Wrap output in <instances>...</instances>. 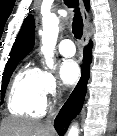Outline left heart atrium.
<instances>
[{"instance_id":"left-heart-atrium-1","label":"left heart atrium","mask_w":117,"mask_h":136,"mask_svg":"<svg viewBox=\"0 0 117 136\" xmlns=\"http://www.w3.org/2000/svg\"><path fill=\"white\" fill-rule=\"evenodd\" d=\"M80 67L73 59L64 60L59 69V75L65 85H73L80 77Z\"/></svg>"}]
</instances>
